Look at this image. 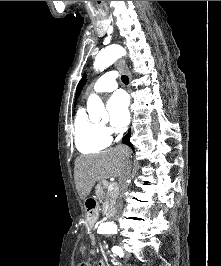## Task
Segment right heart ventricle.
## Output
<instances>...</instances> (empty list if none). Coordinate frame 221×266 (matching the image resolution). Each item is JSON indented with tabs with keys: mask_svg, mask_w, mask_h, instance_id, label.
<instances>
[{
	"mask_svg": "<svg viewBox=\"0 0 221 266\" xmlns=\"http://www.w3.org/2000/svg\"><path fill=\"white\" fill-rule=\"evenodd\" d=\"M76 148L83 154H96L106 149L110 143L101 125L92 122L83 108L79 109L74 123Z\"/></svg>",
	"mask_w": 221,
	"mask_h": 266,
	"instance_id": "e07e8e85",
	"label": "right heart ventricle"
}]
</instances>
